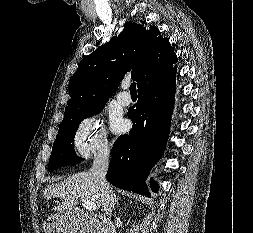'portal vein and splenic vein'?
Masks as SVG:
<instances>
[{
	"mask_svg": "<svg viewBox=\"0 0 253 233\" xmlns=\"http://www.w3.org/2000/svg\"><path fill=\"white\" fill-rule=\"evenodd\" d=\"M82 204L88 208L89 210L91 211H94L97 209V205L89 200H86V199H82Z\"/></svg>",
	"mask_w": 253,
	"mask_h": 233,
	"instance_id": "18ae733b",
	"label": "portal vein and splenic vein"
}]
</instances>
